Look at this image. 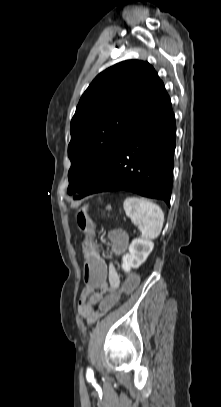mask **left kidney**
Returning a JSON list of instances; mask_svg holds the SVG:
<instances>
[{
    "label": "left kidney",
    "instance_id": "1",
    "mask_svg": "<svg viewBox=\"0 0 221 407\" xmlns=\"http://www.w3.org/2000/svg\"><path fill=\"white\" fill-rule=\"evenodd\" d=\"M154 243L149 239H134L129 246V253L122 258V269L125 272L137 269L152 252Z\"/></svg>",
    "mask_w": 221,
    "mask_h": 407
}]
</instances>
